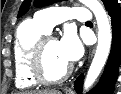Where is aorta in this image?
I'll return each mask as SVG.
<instances>
[{"instance_id": "762f6f07", "label": "aorta", "mask_w": 121, "mask_h": 94, "mask_svg": "<svg viewBox=\"0 0 121 94\" xmlns=\"http://www.w3.org/2000/svg\"><path fill=\"white\" fill-rule=\"evenodd\" d=\"M80 2L94 13L98 27L96 53L84 81L83 91L86 92L94 84L107 61L111 48L112 32L108 15L99 0H80Z\"/></svg>"}]
</instances>
